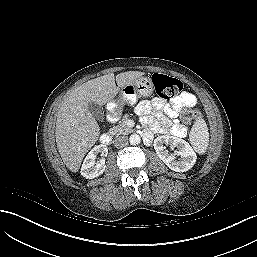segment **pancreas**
Segmentation results:
<instances>
[{
	"mask_svg": "<svg viewBox=\"0 0 257 257\" xmlns=\"http://www.w3.org/2000/svg\"><path fill=\"white\" fill-rule=\"evenodd\" d=\"M133 132V129L128 127L125 122H122L120 125L114 126L110 129V133L114 135H128Z\"/></svg>",
	"mask_w": 257,
	"mask_h": 257,
	"instance_id": "obj_1",
	"label": "pancreas"
}]
</instances>
